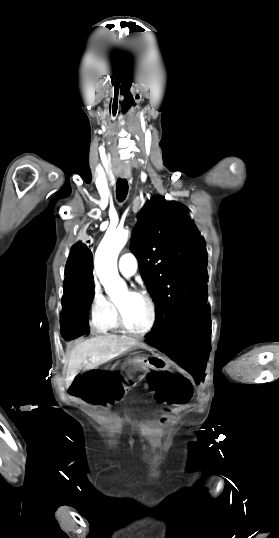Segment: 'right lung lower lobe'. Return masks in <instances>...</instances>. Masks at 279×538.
<instances>
[{
	"mask_svg": "<svg viewBox=\"0 0 279 538\" xmlns=\"http://www.w3.org/2000/svg\"><path fill=\"white\" fill-rule=\"evenodd\" d=\"M93 256L84 244L72 247L65 267L61 335L72 340L89 332L87 307L93 294Z\"/></svg>",
	"mask_w": 279,
	"mask_h": 538,
	"instance_id": "right-lung-lower-lobe-1",
	"label": "right lung lower lobe"
}]
</instances>
